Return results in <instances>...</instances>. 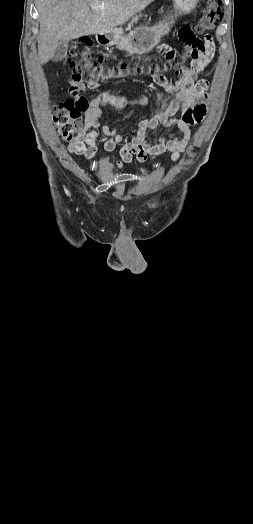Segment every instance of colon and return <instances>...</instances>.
Returning <instances> with one entry per match:
<instances>
[{"mask_svg":"<svg viewBox=\"0 0 253 524\" xmlns=\"http://www.w3.org/2000/svg\"><path fill=\"white\" fill-rule=\"evenodd\" d=\"M220 20L221 0H207L202 16L197 24L196 32L204 34L211 31L218 25ZM175 59L176 62L173 65L162 64L158 61L144 67L129 64L108 67L110 62L108 53H97L94 59L92 57L91 39L87 36L78 38L71 45L66 59L67 65L73 71L69 87L70 97L62 102L53 104L51 108L54 124L62 138L66 141H72L83 128L82 115L89 108V102L82 94L85 83L91 88H97L103 82L128 75L145 74L150 76V71L165 74L168 66H178L180 62L186 61L182 53L176 56ZM205 114V107L197 105L189 111L187 116L191 123L196 124L203 120Z\"/></svg>","mask_w":253,"mask_h":524,"instance_id":"obj_1","label":"colon"}]
</instances>
